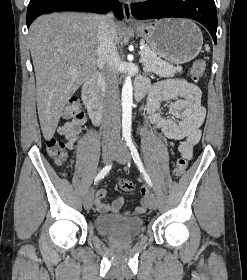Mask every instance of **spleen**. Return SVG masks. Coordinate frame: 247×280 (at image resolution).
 Instances as JSON below:
<instances>
[{"mask_svg":"<svg viewBox=\"0 0 247 280\" xmlns=\"http://www.w3.org/2000/svg\"><path fill=\"white\" fill-rule=\"evenodd\" d=\"M205 50H206L207 52H209V51H210V47H209L208 45H206V46H205Z\"/></svg>","mask_w":247,"mask_h":280,"instance_id":"obj_1","label":"spleen"}]
</instances>
